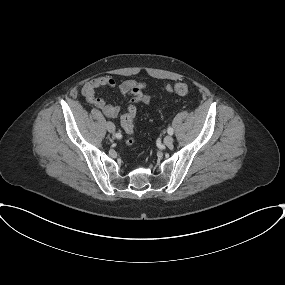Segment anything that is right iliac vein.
I'll return each mask as SVG.
<instances>
[{
    "instance_id": "right-iliac-vein-1",
    "label": "right iliac vein",
    "mask_w": 285,
    "mask_h": 285,
    "mask_svg": "<svg viewBox=\"0 0 285 285\" xmlns=\"http://www.w3.org/2000/svg\"><path fill=\"white\" fill-rule=\"evenodd\" d=\"M106 129L108 132L114 133L115 132V125L112 122L108 121L106 123Z\"/></svg>"
}]
</instances>
